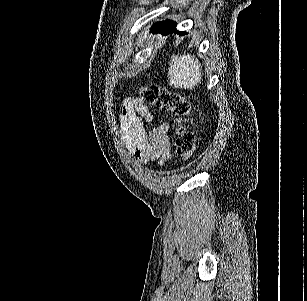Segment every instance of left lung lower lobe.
<instances>
[{
    "label": "left lung lower lobe",
    "mask_w": 307,
    "mask_h": 301,
    "mask_svg": "<svg viewBox=\"0 0 307 301\" xmlns=\"http://www.w3.org/2000/svg\"><path fill=\"white\" fill-rule=\"evenodd\" d=\"M176 24L173 21L167 20V21H162V22H158L157 24H155L152 29L151 32L153 33H163V34H168L170 32L176 31L175 29Z\"/></svg>",
    "instance_id": "0a47b994"
}]
</instances>
